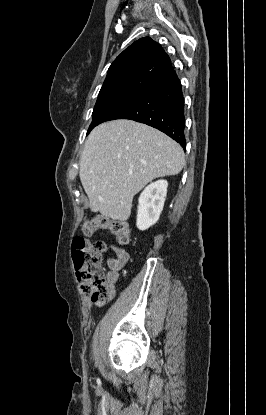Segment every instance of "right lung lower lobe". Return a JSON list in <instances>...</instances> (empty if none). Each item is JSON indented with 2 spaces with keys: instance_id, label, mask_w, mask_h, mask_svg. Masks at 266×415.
<instances>
[{
  "instance_id": "98d812e1",
  "label": "right lung lower lobe",
  "mask_w": 266,
  "mask_h": 415,
  "mask_svg": "<svg viewBox=\"0 0 266 415\" xmlns=\"http://www.w3.org/2000/svg\"><path fill=\"white\" fill-rule=\"evenodd\" d=\"M115 119H129L152 126L186 149L184 97L178 77L158 86L143 99L115 113L108 121Z\"/></svg>"
}]
</instances>
